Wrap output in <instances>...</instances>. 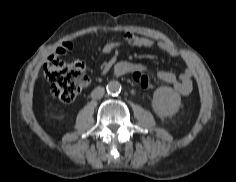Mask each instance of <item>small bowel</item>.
<instances>
[{
	"mask_svg": "<svg viewBox=\"0 0 236 182\" xmlns=\"http://www.w3.org/2000/svg\"><path fill=\"white\" fill-rule=\"evenodd\" d=\"M125 45L143 47L149 49L158 48L159 50L168 54L169 56L172 57L182 56V54L174 47V45L169 42L166 41L155 42L150 38L138 36L131 32H125L121 40H113L106 42L103 45L102 50L105 53H110ZM72 48H73L72 43L69 41H65L56 49L54 54L56 56L64 55L70 52ZM136 68L143 69V67L140 65H137ZM193 74H194L193 69L191 67H188L180 75H175L172 72L161 70L157 73V77L164 83L171 85L173 89L180 95L187 96L193 90Z\"/></svg>",
	"mask_w": 236,
	"mask_h": 182,
	"instance_id": "small-bowel-1",
	"label": "small bowel"
}]
</instances>
